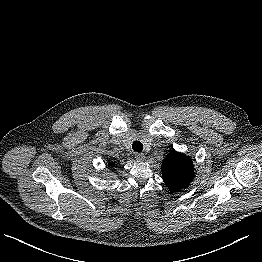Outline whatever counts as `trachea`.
<instances>
[{"label": "trachea", "instance_id": "3493384b", "mask_svg": "<svg viewBox=\"0 0 262 262\" xmlns=\"http://www.w3.org/2000/svg\"><path fill=\"white\" fill-rule=\"evenodd\" d=\"M132 149L136 152H141L143 150V144L140 141H135L132 144Z\"/></svg>", "mask_w": 262, "mask_h": 262}]
</instances>
